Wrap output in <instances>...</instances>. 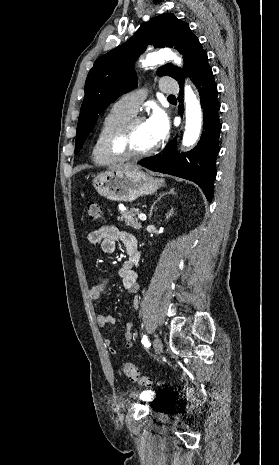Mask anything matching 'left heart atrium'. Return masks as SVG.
Returning <instances> with one entry per match:
<instances>
[{
    "mask_svg": "<svg viewBox=\"0 0 279 465\" xmlns=\"http://www.w3.org/2000/svg\"><path fill=\"white\" fill-rule=\"evenodd\" d=\"M146 124L156 143L163 139L168 133V119L164 112L159 109L154 110L146 121Z\"/></svg>",
    "mask_w": 279,
    "mask_h": 465,
    "instance_id": "obj_1",
    "label": "left heart atrium"
}]
</instances>
